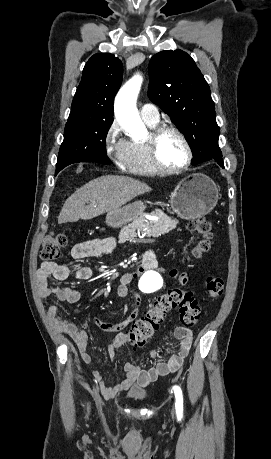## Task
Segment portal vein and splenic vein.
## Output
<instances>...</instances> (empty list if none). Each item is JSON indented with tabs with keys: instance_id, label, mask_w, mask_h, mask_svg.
Listing matches in <instances>:
<instances>
[{
	"instance_id": "1",
	"label": "portal vein and splenic vein",
	"mask_w": 271,
	"mask_h": 459,
	"mask_svg": "<svg viewBox=\"0 0 271 459\" xmlns=\"http://www.w3.org/2000/svg\"><path fill=\"white\" fill-rule=\"evenodd\" d=\"M150 227H151V226H150L149 223H148V224L145 223L144 226H143V225H139V228H142V229L150 228Z\"/></svg>"
}]
</instances>
